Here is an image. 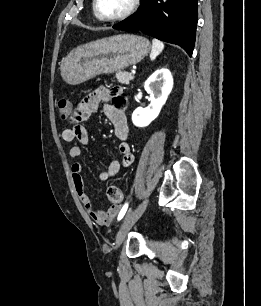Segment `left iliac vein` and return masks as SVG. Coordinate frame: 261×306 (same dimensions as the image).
<instances>
[{"instance_id":"obj_1","label":"left iliac vein","mask_w":261,"mask_h":306,"mask_svg":"<svg viewBox=\"0 0 261 306\" xmlns=\"http://www.w3.org/2000/svg\"><path fill=\"white\" fill-rule=\"evenodd\" d=\"M148 205V199H145L138 207L131 213H128L120 226V229L116 236L115 248L117 249L124 239L126 238L129 230L132 226L138 221V219L142 216L146 207Z\"/></svg>"}]
</instances>
